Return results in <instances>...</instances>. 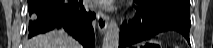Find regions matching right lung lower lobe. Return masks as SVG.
<instances>
[{"label": "right lung lower lobe", "mask_w": 213, "mask_h": 48, "mask_svg": "<svg viewBox=\"0 0 213 48\" xmlns=\"http://www.w3.org/2000/svg\"><path fill=\"white\" fill-rule=\"evenodd\" d=\"M29 38L55 28H63L85 48H94L92 20L95 13L82 0H28Z\"/></svg>", "instance_id": "98d812e1"}]
</instances>
